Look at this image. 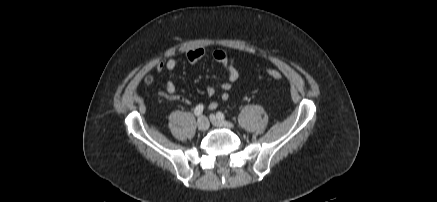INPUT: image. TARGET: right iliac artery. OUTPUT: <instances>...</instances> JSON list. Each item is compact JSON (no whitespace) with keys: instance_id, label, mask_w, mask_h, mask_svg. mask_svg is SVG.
<instances>
[{"instance_id":"1","label":"right iliac artery","mask_w":437,"mask_h":202,"mask_svg":"<svg viewBox=\"0 0 437 202\" xmlns=\"http://www.w3.org/2000/svg\"><path fill=\"white\" fill-rule=\"evenodd\" d=\"M203 110H204V106H203V104H199V105H197V106L195 107V109H194V114H195L196 116H200V115L203 113Z\"/></svg>"}]
</instances>
